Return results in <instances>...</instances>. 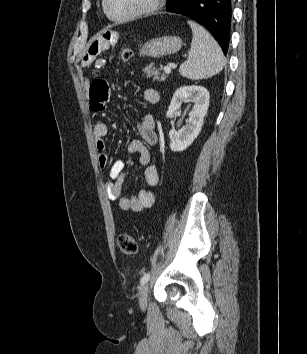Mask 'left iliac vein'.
I'll list each match as a JSON object with an SVG mask.
<instances>
[{
  "label": "left iliac vein",
  "instance_id": "1",
  "mask_svg": "<svg viewBox=\"0 0 307 354\" xmlns=\"http://www.w3.org/2000/svg\"><path fill=\"white\" fill-rule=\"evenodd\" d=\"M149 287L148 284H145L139 292V304L140 308L144 310L147 306V299H148Z\"/></svg>",
  "mask_w": 307,
  "mask_h": 354
}]
</instances>
